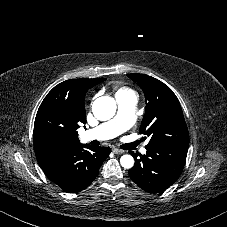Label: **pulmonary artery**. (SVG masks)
Wrapping results in <instances>:
<instances>
[{"label": "pulmonary artery", "mask_w": 227, "mask_h": 227, "mask_svg": "<svg viewBox=\"0 0 227 227\" xmlns=\"http://www.w3.org/2000/svg\"><path fill=\"white\" fill-rule=\"evenodd\" d=\"M136 102V96H130L119 100V110L117 115L113 119L100 124L96 128L85 131L81 135V140L83 142H89L92 140H108L128 131L135 120ZM140 152L141 154H146L147 150L142 148Z\"/></svg>", "instance_id": "pulmonary-artery-1"}]
</instances>
